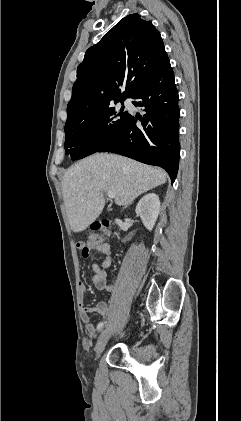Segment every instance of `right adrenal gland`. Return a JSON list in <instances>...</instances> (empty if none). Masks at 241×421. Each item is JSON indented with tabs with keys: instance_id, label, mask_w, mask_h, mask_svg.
<instances>
[{
	"instance_id": "1",
	"label": "right adrenal gland",
	"mask_w": 241,
	"mask_h": 421,
	"mask_svg": "<svg viewBox=\"0 0 241 421\" xmlns=\"http://www.w3.org/2000/svg\"><path fill=\"white\" fill-rule=\"evenodd\" d=\"M132 202H133V201H131L129 204H131ZM129 204H128V205H129ZM128 205H126V206H125V208H126Z\"/></svg>"
}]
</instances>
